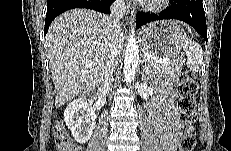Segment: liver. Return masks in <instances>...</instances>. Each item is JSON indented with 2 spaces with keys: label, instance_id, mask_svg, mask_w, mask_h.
I'll use <instances>...</instances> for the list:
<instances>
[{
  "label": "liver",
  "instance_id": "1",
  "mask_svg": "<svg viewBox=\"0 0 231 151\" xmlns=\"http://www.w3.org/2000/svg\"><path fill=\"white\" fill-rule=\"evenodd\" d=\"M107 32V16L94 10L73 9L53 20L45 48L56 90V108L93 90L103 80ZM116 41L122 48V30Z\"/></svg>",
  "mask_w": 231,
  "mask_h": 151
}]
</instances>
